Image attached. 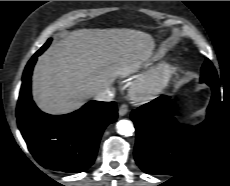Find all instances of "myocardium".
I'll list each match as a JSON object with an SVG mask.
<instances>
[{"mask_svg":"<svg viewBox=\"0 0 230 186\" xmlns=\"http://www.w3.org/2000/svg\"><path fill=\"white\" fill-rule=\"evenodd\" d=\"M177 73V67L172 63H164L151 73L136 80L130 89L133 100L147 102L159 96Z\"/></svg>","mask_w":230,"mask_h":186,"instance_id":"myocardium-1","label":"myocardium"}]
</instances>
